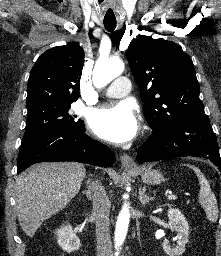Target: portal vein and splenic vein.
Here are the masks:
<instances>
[{
	"instance_id": "portal-vein-and-splenic-vein-1",
	"label": "portal vein and splenic vein",
	"mask_w": 221,
	"mask_h": 256,
	"mask_svg": "<svg viewBox=\"0 0 221 256\" xmlns=\"http://www.w3.org/2000/svg\"><path fill=\"white\" fill-rule=\"evenodd\" d=\"M167 198L169 200H176L177 199V195L170 194V195L167 196Z\"/></svg>"
}]
</instances>
